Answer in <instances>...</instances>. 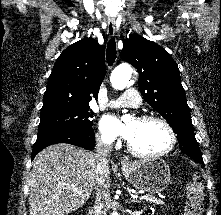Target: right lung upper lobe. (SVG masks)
<instances>
[{"label":"right lung upper lobe","instance_id":"cb5924a9","mask_svg":"<svg viewBox=\"0 0 221 215\" xmlns=\"http://www.w3.org/2000/svg\"><path fill=\"white\" fill-rule=\"evenodd\" d=\"M106 73L105 46L82 39L62 52L49 77L40 115L89 107Z\"/></svg>","mask_w":221,"mask_h":215}]
</instances>
